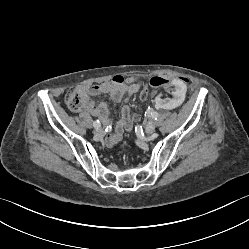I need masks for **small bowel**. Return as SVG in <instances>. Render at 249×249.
<instances>
[{"label": "small bowel", "instance_id": "1", "mask_svg": "<svg viewBox=\"0 0 249 249\" xmlns=\"http://www.w3.org/2000/svg\"><path fill=\"white\" fill-rule=\"evenodd\" d=\"M184 80L186 82V79ZM127 83H129V85H127ZM78 90L86 99V106L84 109L92 115L98 117L106 126L111 123L108 117V108L106 103H95L89 98L90 95L107 94L115 102H120L123 99L125 102H128L131 96L135 93L139 91L148 92L147 87L142 81H138L133 78L125 79L121 75H116L111 80L100 84L79 86ZM139 118V115L131 116L130 107L128 105H124L121 109V118L117 123L115 132L106 137V144H115L120 139L124 130L130 129L133 121H138Z\"/></svg>", "mask_w": 249, "mask_h": 249}]
</instances>
